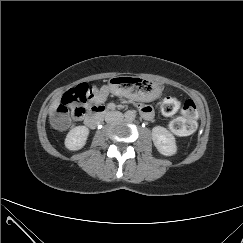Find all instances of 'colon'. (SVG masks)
<instances>
[{
	"mask_svg": "<svg viewBox=\"0 0 243 243\" xmlns=\"http://www.w3.org/2000/svg\"><path fill=\"white\" fill-rule=\"evenodd\" d=\"M94 90L86 83H81L67 91L52 118V125L57 129H65L69 126L71 117L80 119L86 112V104L93 99ZM180 108V102L173 97H167L161 107L165 116L175 114ZM197 108L192 100H186L181 105V115L169 123L173 133L179 136L191 134L195 127Z\"/></svg>",
	"mask_w": 243,
	"mask_h": 243,
	"instance_id": "1",
	"label": "colon"
}]
</instances>
